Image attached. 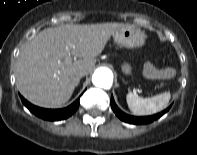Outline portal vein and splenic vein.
Segmentation results:
<instances>
[{
  "mask_svg": "<svg viewBox=\"0 0 197 155\" xmlns=\"http://www.w3.org/2000/svg\"><path fill=\"white\" fill-rule=\"evenodd\" d=\"M70 48H71V46H70L69 48L67 47V49H70ZM70 59H71V58H70V57H68V59H67V60H70Z\"/></svg>",
  "mask_w": 197,
  "mask_h": 155,
  "instance_id": "18ae733b",
  "label": "portal vein and splenic vein"
}]
</instances>
